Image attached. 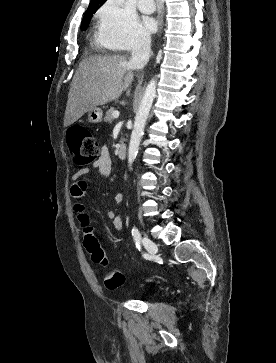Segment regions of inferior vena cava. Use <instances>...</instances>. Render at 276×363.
<instances>
[{"mask_svg":"<svg viewBox=\"0 0 276 363\" xmlns=\"http://www.w3.org/2000/svg\"><path fill=\"white\" fill-rule=\"evenodd\" d=\"M151 55V37L149 34H140L132 47L130 65L135 69L143 68Z\"/></svg>","mask_w":276,"mask_h":363,"instance_id":"obj_1","label":"inferior vena cava"}]
</instances>
